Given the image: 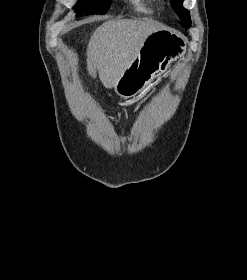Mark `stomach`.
Returning a JSON list of instances; mask_svg holds the SVG:
<instances>
[{
  "label": "stomach",
  "instance_id": "stomach-1",
  "mask_svg": "<svg viewBox=\"0 0 247 280\" xmlns=\"http://www.w3.org/2000/svg\"><path fill=\"white\" fill-rule=\"evenodd\" d=\"M183 48L182 39L169 31L160 30L150 34L119 79L115 91L123 97L141 92L155 78L164 74Z\"/></svg>",
  "mask_w": 247,
  "mask_h": 280
}]
</instances>
